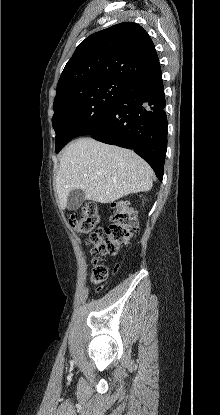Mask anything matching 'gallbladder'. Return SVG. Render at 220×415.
<instances>
[{
  "label": "gallbladder",
  "instance_id": "1",
  "mask_svg": "<svg viewBox=\"0 0 220 415\" xmlns=\"http://www.w3.org/2000/svg\"><path fill=\"white\" fill-rule=\"evenodd\" d=\"M85 200L84 191L80 189L72 190L67 197V209L77 210Z\"/></svg>",
  "mask_w": 220,
  "mask_h": 415
}]
</instances>
